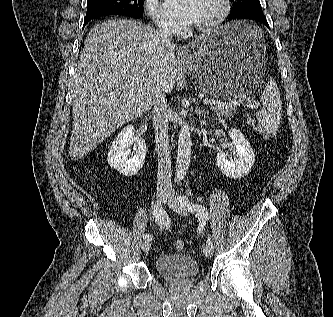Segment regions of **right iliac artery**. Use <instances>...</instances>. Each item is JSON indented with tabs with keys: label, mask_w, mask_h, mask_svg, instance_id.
Returning a JSON list of instances; mask_svg holds the SVG:
<instances>
[{
	"label": "right iliac artery",
	"mask_w": 333,
	"mask_h": 317,
	"mask_svg": "<svg viewBox=\"0 0 333 317\" xmlns=\"http://www.w3.org/2000/svg\"><path fill=\"white\" fill-rule=\"evenodd\" d=\"M154 216H155V220L156 222L163 228L168 229L170 227V219L167 215V213L164 211V209L162 208L160 202H157L155 208H154ZM144 239L148 240V241H152L153 240V236L150 234H145L144 235Z\"/></svg>",
	"instance_id": "1"
}]
</instances>
